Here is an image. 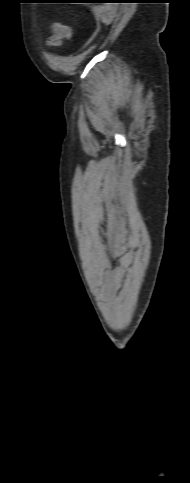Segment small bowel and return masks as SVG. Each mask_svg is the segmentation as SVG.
Listing matches in <instances>:
<instances>
[{
  "instance_id": "1",
  "label": "small bowel",
  "mask_w": 190,
  "mask_h": 483,
  "mask_svg": "<svg viewBox=\"0 0 190 483\" xmlns=\"http://www.w3.org/2000/svg\"><path fill=\"white\" fill-rule=\"evenodd\" d=\"M51 34L47 37L46 44L48 46H58L70 36L69 29L60 24H55L50 27Z\"/></svg>"
}]
</instances>
